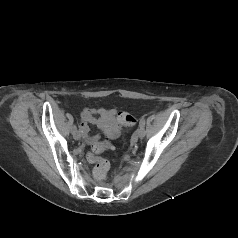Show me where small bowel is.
Instances as JSON below:
<instances>
[{"mask_svg": "<svg viewBox=\"0 0 238 238\" xmlns=\"http://www.w3.org/2000/svg\"><path fill=\"white\" fill-rule=\"evenodd\" d=\"M120 113H118L115 109H83L81 112L80 129L86 141L92 145L93 151L97 146L101 144L108 145V143L101 142L99 135L89 136V124L96 125L102 130L107 138H116L120 133L121 125H123L120 124L117 119Z\"/></svg>", "mask_w": 238, "mask_h": 238, "instance_id": "small-bowel-1", "label": "small bowel"}]
</instances>
